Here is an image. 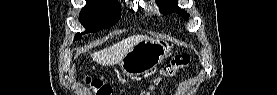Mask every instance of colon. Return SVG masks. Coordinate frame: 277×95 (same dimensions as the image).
Here are the masks:
<instances>
[{"instance_id":"colon-1","label":"colon","mask_w":277,"mask_h":95,"mask_svg":"<svg viewBox=\"0 0 277 95\" xmlns=\"http://www.w3.org/2000/svg\"><path fill=\"white\" fill-rule=\"evenodd\" d=\"M190 63V56L188 54H180L177 55L171 62L166 64L161 72L160 75L157 77L156 81H160L163 77H171L176 75L178 72L186 69ZM94 89L99 95H110L112 92L111 86L105 84L101 81L94 82ZM143 94H147L146 92Z\"/></svg>"}]
</instances>
